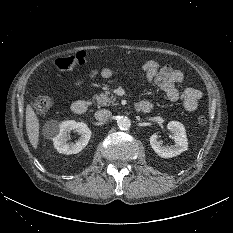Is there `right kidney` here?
<instances>
[{
  "label": "right kidney",
  "mask_w": 233,
  "mask_h": 233,
  "mask_svg": "<svg viewBox=\"0 0 233 233\" xmlns=\"http://www.w3.org/2000/svg\"><path fill=\"white\" fill-rule=\"evenodd\" d=\"M46 137L53 140L54 148L63 154L79 153L88 144L91 137V130L83 122H76L74 120L64 121L58 123L50 121L45 125ZM78 132L81 137L76 143H67L68 133L70 131Z\"/></svg>",
  "instance_id": "ca27d5eb"
}]
</instances>
